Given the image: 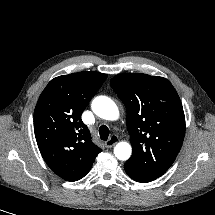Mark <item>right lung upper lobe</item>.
<instances>
[{"mask_svg": "<svg viewBox=\"0 0 215 215\" xmlns=\"http://www.w3.org/2000/svg\"><path fill=\"white\" fill-rule=\"evenodd\" d=\"M106 78L91 71L62 75L38 99L34 132L39 150L50 169L67 181L83 178L101 152L81 115Z\"/></svg>", "mask_w": 215, "mask_h": 215, "instance_id": "cb5924a9", "label": "right lung upper lobe"}]
</instances>
